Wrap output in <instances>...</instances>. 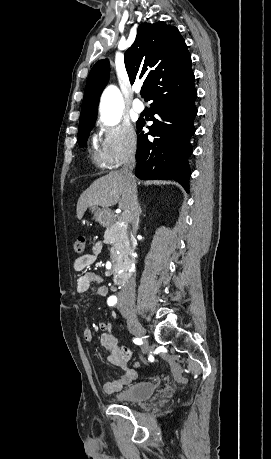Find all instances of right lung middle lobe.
Here are the masks:
<instances>
[{
	"label": "right lung middle lobe",
	"instance_id": "1",
	"mask_svg": "<svg viewBox=\"0 0 271 459\" xmlns=\"http://www.w3.org/2000/svg\"><path fill=\"white\" fill-rule=\"evenodd\" d=\"M96 119L84 120L79 122L78 144L80 147L86 146L90 130L93 128Z\"/></svg>",
	"mask_w": 271,
	"mask_h": 459
}]
</instances>
